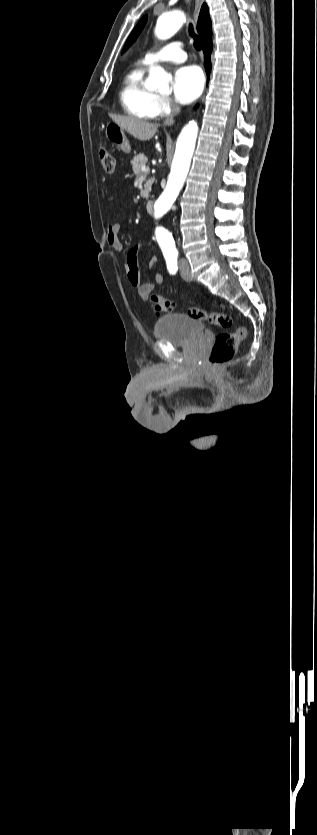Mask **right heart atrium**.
<instances>
[{
  "instance_id": "right-heart-atrium-1",
  "label": "right heart atrium",
  "mask_w": 317,
  "mask_h": 835,
  "mask_svg": "<svg viewBox=\"0 0 317 835\" xmlns=\"http://www.w3.org/2000/svg\"><path fill=\"white\" fill-rule=\"evenodd\" d=\"M174 110V105L170 98L166 96H158L154 106V117H164L171 114Z\"/></svg>"
}]
</instances>
